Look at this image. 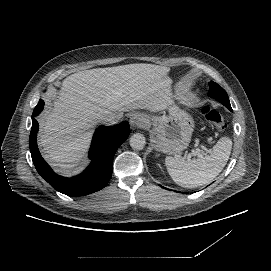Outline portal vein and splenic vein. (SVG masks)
<instances>
[{"instance_id": "1", "label": "portal vein and splenic vein", "mask_w": 271, "mask_h": 271, "mask_svg": "<svg viewBox=\"0 0 271 271\" xmlns=\"http://www.w3.org/2000/svg\"><path fill=\"white\" fill-rule=\"evenodd\" d=\"M195 156L201 157V152H200L199 149L193 150V151L191 152V154L188 155L189 158L195 157Z\"/></svg>"}]
</instances>
